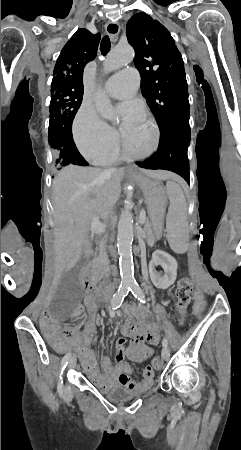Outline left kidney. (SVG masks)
Segmentation results:
<instances>
[{
  "label": "left kidney",
  "instance_id": "5707ae66",
  "mask_svg": "<svg viewBox=\"0 0 241 450\" xmlns=\"http://www.w3.org/2000/svg\"><path fill=\"white\" fill-rule=\"evenodd\" d=\"M156 266H161L164 270V274L156 272ZM178 264L175 258H172L167 252L162 250H156L152 254V260L149 264V274L152 284L159 288V290H167L169 286H172L176 280Z\"/></svg>",
  "mask_w": 241,
  "mask_h": 450
}]
</instances>
